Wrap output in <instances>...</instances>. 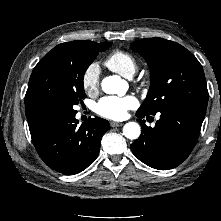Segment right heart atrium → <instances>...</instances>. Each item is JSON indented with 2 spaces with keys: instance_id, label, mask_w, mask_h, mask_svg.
I'll return each instance as SVG.
<instances>
[{
  "instance_id": "1",
  "label": "right heart atrium",
  "mask_w": 221,
  "mask_h": 221,
  "mask_svg": "<svg viewBox=\"0 0 221 221\" xmlns=\"http://www.w3.org/2000/svg\"><path fill=\"white\" fill-rule=\"evenodd\" d=\"M81 85L88 95L98 93L100 86V67L97 63L89 64L81 77Z\"/></svg>"
}]
</instances>
